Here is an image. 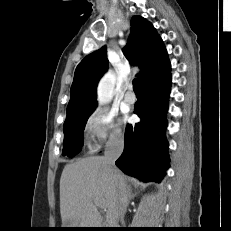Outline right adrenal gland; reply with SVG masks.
I'll return each mask as SVG.
<instances>
[{"label": "right adrenal gland", "mask_w": 231, "mask_h": 231, "mask_svg": "<svg viewBox=\"0 0 231 231\" xmlns=\"http://www.w3.org/2000/svg\"><path fill=\"white\" fill-rule=\"evenodd\" d=\"M127 194H128L129 199H132L135 197V195L132 193V190L130 187H128Z\"/></svg>", "instance_id": "obj_1"}]
</instances>
